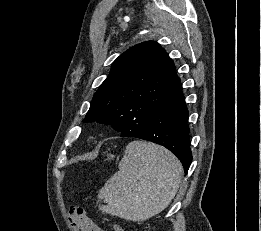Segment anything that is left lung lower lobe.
Wrapping results in <instances>:
<instances>
[{
    "label": "left lung lower lobe",
    "mask_w": 261,
    "mask_h": 231,
    "mask_svg": "<svg viewBox=\"0 0 261 231\" xmlns=\"http://www.w3.org/2000/svg\"><path fill=\"white\" fill-rule=\"evenodd\" d=\"M122 137L148 140L169 149L181 161L185 173L192 162L188 110L181 93L159 111L141 133H123Z\"/></svg>",
    "instance_id": "left-lung-lower-lobe-1"
}]
</instances>
